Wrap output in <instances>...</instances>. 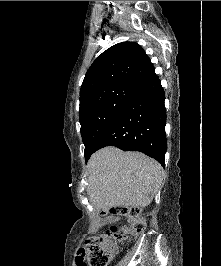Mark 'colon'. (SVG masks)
<instances>
[{
  "label": "colon",
  "instance_id": "obj_1",
  "mask_svg": "<svg viewBox=\"0 0 221 266\" xmlns=\"http://www.w3.org/2000/svg\"><path fill=\"white\" fill-rule=\"evenodd\" d=\"M111 215L127 219L128 227H111L104 235H96L85 242V262L88 266H107L113 255L119 249V245L129 237L141 234L145 228V220L140 215L139 208L118 207L111 209Z\"/></svg>",
  "mask_w": 221,
  "mask_h": 266
}]
</instances>
